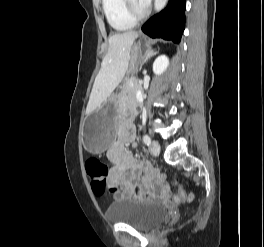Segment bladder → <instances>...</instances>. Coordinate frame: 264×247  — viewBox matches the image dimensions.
<instances>
[{
	"mask_svg": "<svg viewBox=\"0 0 264 247\" xmlns=\"http://www.w3.org/2000/svg\"><path fill=\"white\" fill-rule=\"evenodd\" d=\"M109 222L123 223L140 230H151L168 219L167 210L156 203L132 198L113 201L106 212Z\"/></svg>",
	"mask_w": 264,
	"mask_h": 247,
	"instance_id": "31cf9c89",
	"label": "bladder"
}]
</instances>
